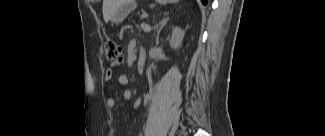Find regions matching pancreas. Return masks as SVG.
<instances>
[{"label":"pancreas","mask_w":325,"mask_h":136,"mask_svg":"<svg viewBox=\"0 0 325 136\" xmlns=\"http://www.w3.org/2000/svg\"><path fill=\"white\" fill-rule=\"evenodd\" d=\"M148 10L145 5H140L136 12H132L130 23L131 24H137L139 22V19H141L142 16H147Z\"/></svg>","instance_id":"cf45deb5"}]
</instances>
